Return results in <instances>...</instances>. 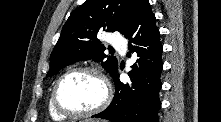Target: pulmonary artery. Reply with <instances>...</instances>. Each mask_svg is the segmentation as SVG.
Listing matches in <instances>:
<instances>
[{
	"mask_svg": "<svg viewBox=\"0 0 221 122\" xmlns=\"http://www.w3.org/2000/svg\"><path fill=\"white\" fill-rule=\"evenodd\" d=\"M110 42L113 47L120 50L122 53H125L127 46H126V41L124 38L116 35L112 37Z\"/></svg>",
	"mask_w": 221,
	"mask_h": 122,
	"instance_id": "pulmonary-artery-1",
	"label": "pulmonary artery"
}]
</instances>
